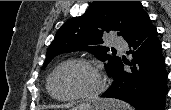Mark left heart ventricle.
<instances>
[{"label":"left heart ventricle","mask_w":171,"mask_h":110,"mask_svg":"<svg viewBox=\"0 0 171 110\" xmlns=\"http://www.w3.org/2000/svg\"><path fill=\"white\" fill-rule=\"evenodd\" d=\"M98 78L86 66L70 64L61 68L53 78L52 89L58 96L88 93L96 89Z\"/></svg>","instance_id":"left-heart-ventricle-1"}]
</instances>
